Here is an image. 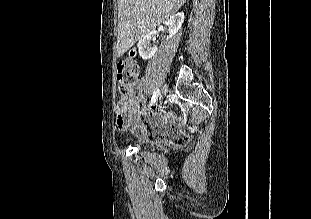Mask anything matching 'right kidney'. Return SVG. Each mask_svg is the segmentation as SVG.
Instances as JSON below:
<instances>
[{
	"label": "right kidney",
	"instance_id": "1",
	"mask_svg": "<svg viewBox=\"0 0 311 219\" xmlns=\"http://www.w3.org/2000/svg\"><path fill=\"white\" fill-rule=\"evenodd\" d=\"M184 13H177L170 17L168 21L169 26V36L167 40L172 38L178 31L180 30L182 23L184 22ZM156 36V31H151L147 35L143 36L138 42V51L139 55L142 59L147 60L154 56L157 49L155 47H151L150 42L154 40Z\"/></svg>",
	"mask_w": 311,
	"mask_h": 219
}]
</instances>
